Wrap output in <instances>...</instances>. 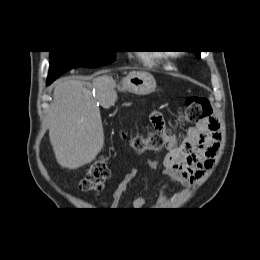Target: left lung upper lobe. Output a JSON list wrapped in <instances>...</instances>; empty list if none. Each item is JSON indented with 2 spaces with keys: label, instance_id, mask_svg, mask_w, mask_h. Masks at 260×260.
Wrapping results in <instances>:
<instances>
[{
  "label": "left lung upper lobe",
  "instance_id": "left-lung-upper-lobe-1",
  "mask_svg": "<svg viewBox=\"0 0 260 260\" xmlns=\"http://www.w3.org/2000/svg\"><path fill=\"white\" fill-rule=\"evenodd\" d=\"M197 52V54H198V57H200V51H196Z\"/></svg>",
  "mask_w": 260,
  "mask_h": 260
}]
</instances>
